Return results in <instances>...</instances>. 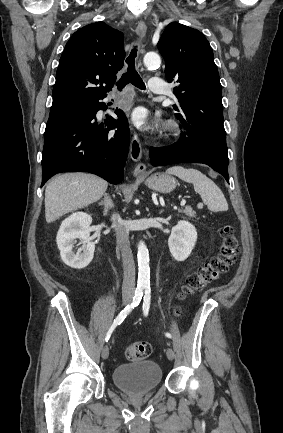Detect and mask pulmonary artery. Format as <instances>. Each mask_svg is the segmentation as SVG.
I'll return each instance as SVG.
<instances>
[{
    "instance_id": "1",
    "label": "pulmonary artery",
    "mask_w": 283,
    "mask_h": 433,
    "mask_svg": "<svg viewBox=\"0 0 283 433\" xmlns=\"http://www.w3.org/2000/svg\"><path fill=\"white\" fill-rule=\"evenodd\" d=\"M164 80L163 78H151L149 80L148 90L149 92H162L168 93V91H164Z\"/></svg>"
}]
</instances>
